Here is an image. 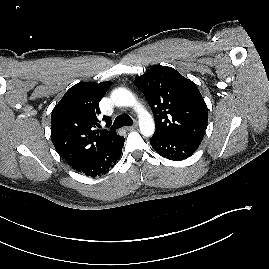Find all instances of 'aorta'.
<instances>
[{"instance_id":"1","label":"aorta","mask_w":269,"mask_h":269,"mask_svg":"<svg viewBox=\"0 0 269 269\" xmlns=\"http://www.w3.org/2000/svg\"><path fill=\"white\" fill-rule=\"evenodd\" d=\"M115 105L121 107H134L139 117L140 132L145 137H150L155 131V123L151 114L141 106L136 97L125 88L115 89L111 94Z\"/></svg>"}]
</instances>
